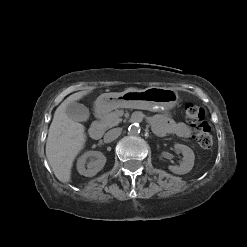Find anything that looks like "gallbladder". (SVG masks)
<instances>
[{
    "label": "gallbladder",
    "mask_w": 247,
    "mask_h": 247,
    "mask_svg": "<svg viewBox=\"0 0 247 247\" xmlns=\"http://www.w3.org/2000/svg\"><path fill=\"white\" fill-rule=\"evenodd\" d=\"M66 114L70 119L78 122L87 121L89 118L88 108L77 102H72L67 105Z\"/></svg>",
    "instance_id": "obj_1"
}]
</instances>
